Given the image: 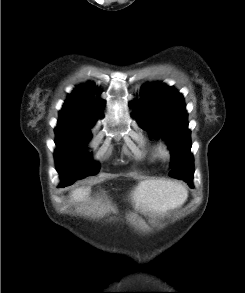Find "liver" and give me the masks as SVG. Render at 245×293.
I'll return each mask as SVG.
<instances>
[{
    "label": "liver",
    "mask_w": 245,
    "mask_h": 293,
    "mask_svg": "<svg viewBox=\"0 0 245 293\" xmlns=\"http://www.w3.org/2000/svg\"><path fill=\"white\" fill-rule=\"evenodd\" d=\"M88 191L89 188H76L71 196L75 201H83ZM187 197V190L181 184L162 179L141 181L133 192L137 207L157 213H165L182 206Z\"/></svg>",
    "instance_id": "liver-1"
}]
</instances>
